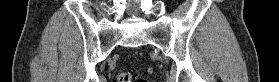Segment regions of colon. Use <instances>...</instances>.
Listing matches in <instances>:
<instances>
[{
    "mask_svg": "<svg viewBox=\"0 0 279 82\" xmlns=\"http://www.w3.org/2000/svg\"><path fill=\"white\" fill-rule=\"evenodd\" d=\"M117 81L118 82H143L141 78H138L136 74L130 71L120 73L118 75Z\"/></svg>",
    "mask_w": 279,
    "mask_h": 82,
    "instance_id": "5ec220e1",
    "label": "colon"
}]
</instances>
